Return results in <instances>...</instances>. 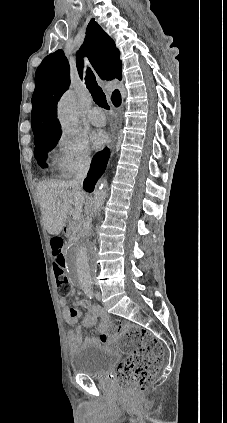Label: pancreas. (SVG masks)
Here are the masks:
<instances>
[{
	"instance_id": "pancreas-1",
	"label": "pancreas",
	"mask_w": 227,
	"mask_h": 423,
	"mask_svg": "<svg viewBox=\"0 0 227 423\" xmlns=\"http://www.w3.org/2000/svg\"><path fill=\"white\" fill-rule=\"evenodd\" d=\"M70 227V231H71V235H70V239L71 241H74V239H79V237H81L85 227H87L86 225V221H84V219H77V221H73V223H71V225H69Z\"/></svg>"
}]
</instances>
